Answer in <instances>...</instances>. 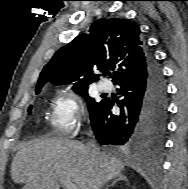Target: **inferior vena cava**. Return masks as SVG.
Segmentation results:
<instances>
[{"label": "inferior vena cava", "instance_id": "inferior-vena-cava-1", "mask_svg": "<svg viewBox=\"0 0 188 189\" xmlns=\"http://www.w3.org/2000/svg\"><path fill=\"white\" fill-rule=\"evenodd\" d=\"M88 149L90 150L92 155H96L99 152L98 147L95 145L94 142H90L87 144Z\"/></svg>", "mask_w": 188, "mask_h": 189}]
</instances>
